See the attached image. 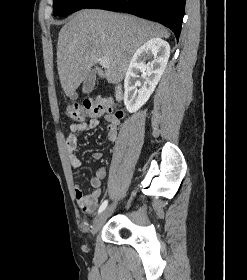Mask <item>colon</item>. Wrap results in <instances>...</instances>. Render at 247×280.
Returning a JSON list of instances; mask_svg holds the SVG:
<instances>
[{
    "label": "colon",
    "instance_id": "5ec220e1",
    "mask_svg": "<svg viewBox=\"0 0 247 280\" xmlns=\"http://www.w3.org/2000/svg\"><path fill=\"white\" fill-rule=\"evenodd\" d=\"M103 114L122 117V112L114 111V104L106 98L86 99L82 103H70L66 108V115L74 121H83L87 116Z\"/></svg>",
    "mask_w": 247,
    "mask_h": 280
}]
</instances>
